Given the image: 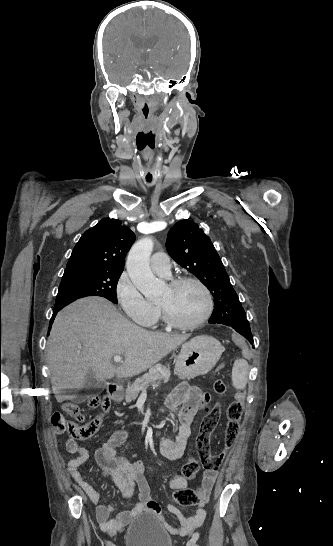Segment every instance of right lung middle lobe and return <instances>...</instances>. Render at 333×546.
Returning <instances> with one entry per match:
<instances>
[{
    "label": "right lung middle lobe",
    "instance_id": "1",
    "mask_svg": "<svg viewBox=\"0 0 333 546\" xmlns=\"http://www.w3.org/2000/svg\"><path fill=\"white\" fill-rule=\"evenodd\" d=\"M122 272L123 270H98L63 275L54 311L86 296L105 297L116 304V287Z\"/></svg>",
    "mask_w": 333,
    "mask_h": 546
}]
</instances>
